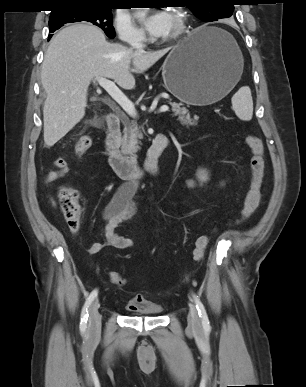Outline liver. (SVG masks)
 Here are the masks:
<instances>
[{
	"instance_id": "liver-1",
	"label": "liver",
	"mask_w": 306,
	"mask_h": 387,
	"mask_svg": "<svg viewBox=\"0 0 306 387\" xmlns=\"http://www.w3.org/2000/svg\"><path fill=\"white\" fill-rule=\"evenodd\" d=\"M169 50L146 52L109 43L101 29L88 23L62 29L51 39L41 68L47 94L43 107L45 144L53 146L84 117L88 87L94 78L113 79L121 88L133 89L131 71H147Z\"/></svg>"
}]
</instances>
